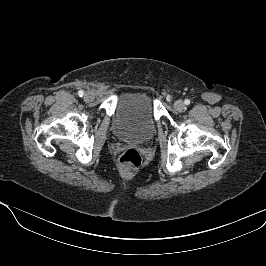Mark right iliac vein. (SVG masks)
Segmentation results:
<instances>
[{
	"instance_id": "63e3f726",
	"label": "right iliac vein",
	"mask_w": 266,
	"mask_h": 266,
	"mask_svg": "<svg viewBox=\"0 0 266 266\" xmlns=\"http://www.w3.org/2000/svg\"><path fill=\"white\" fill-rule=\"evenodd\" d=\"M84 99L87 101V102H90L94 99V94L92 92H87L85 95H84Z\"/></svg>"
}]
</instances>
